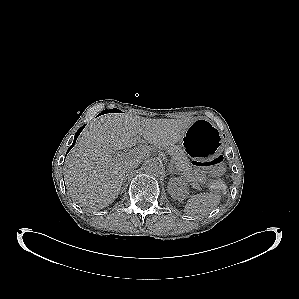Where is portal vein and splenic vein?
I'll return each instance as SVG.
<instances>
[{
	"label": "portal vein and splenic vein",
	"mask_w": 299,
	"mask_h": 299,
	"mask_svg": "<svg viewBox=\"0 0 299 299\" xmlns=\"http://www.w3.org/2000/svg\"><path fill=\"white\" fill-rule=\"evenodd\" d=\"M124 155H125L124 152H119V153H117V156H118V157H122V156H124Z\"/></svg>",
	"instance_id": "portal-vein-and-splenic-vein-1"
}]
</instances>
